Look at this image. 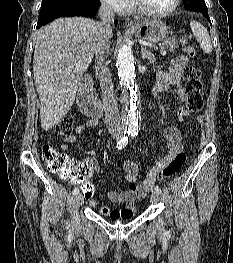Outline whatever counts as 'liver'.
Listing matches in <instances>:
<instances>
[{"mask_svg": "<svg viewBox=\"0 0 233 263\" xmlns=\"http://www.w3.org/2000/svg\"><path fill=\"white\" fill-rule=\"evenodd\" d=\"M98 37V23L83 17L59 18L37 31L33 72L43 130L59 123L73 105Z\"/></svg>", "mask_w": 233, "mask_h": 263, "instance_id": "6515ba94", "label": "liver"}]
</instances>
